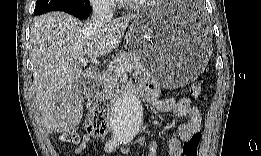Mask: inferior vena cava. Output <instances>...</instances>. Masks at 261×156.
Masks as SVG:
<instances>
[{
    "mask_svg": "<svg viewBox=\"0 0 261 156\" xmlns=\"http://www.w3.org/2000/svg\"><path fill=\"white\" fill-rule=\"evenodd\" d=\"M92 23L101 27L113 18V10L108 0H96L92 3Z\"/></svg>",
    "mask_w": 261,
    "mask_h": 156,
    "instance_id": "obj_1",
    "label": "inferior vena cava"
}]
</instances>
